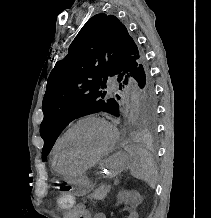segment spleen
Wrapping results in <instances>:
<instances>
[{"mask_svg":"<svg viewBox=\"0 0 211 218\" xmlns=\"http://www.w3.org/2000/svg\"><path fill=\"white\" fill-rule=\"evenodd\" d=\"M129 154L131 176L138 178V180H144L154 190L157 184V168L154 164L153 156L147 150H142V148L133 150Z\"/></svg>","mask_w":211,"mask_h":218,"instance_id":"obj_1","label":"spleen"}]
</instances>
